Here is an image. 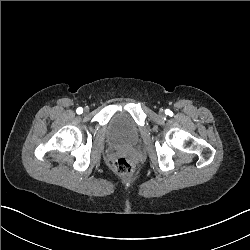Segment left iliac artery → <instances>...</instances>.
Here are the masks:
<instances>
[{"label":"left iliac artery","mask_w":250,"mask_h":250,"mask_svg":"<svg viewBox=\"0 0 250 250\" xmlns=\"http://www.w3.org/2000/svg\"><path fill=\"white\" fill-rule=\"evenodd\" d=\"M169 111H170V110H169ZM171 114H172V112L170 111V112H169V115H171Z\"/></svg>","instance_id":"left-iliac-artery-1"}]
</instances>
